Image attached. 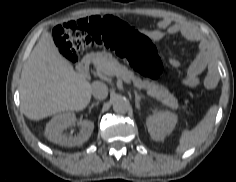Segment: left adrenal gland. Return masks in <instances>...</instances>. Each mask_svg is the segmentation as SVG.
<instances>
[{"label": "left adrenal gland", "mask_w": 236, "mask_h": 182, "mask_svg": "<svg viewBox=\"0 0 236 182\" xmlns=\"http://www.w3.org/2000/svg\"><path fill=\"white\" fill-rule=\"evenodd\" d=\"M134 94H135V106L138 110H140V101L141 99H144L145 96L139 95L136 90H134Z\"/></svg>", "instance_id": "1"}]
</instances>
